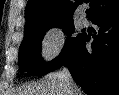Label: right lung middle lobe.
Segmentation results:
<instances>
[{"label":"right lung middle lobe","mask_w":119,"mask_h":95,"mask_svg":"<svg viewBox=\"0 0 119 95\" xmlns=\"http://www.w3.org/2000/svg\"><path fill=\"white\" fill-rule=\"evenodd\" d=\"M53 27L62 28L67 35L74 32L73 21L48 23L25 32L24 39L19 47L18 62L21 71L29 72L35 76H43L51 72L72 44L81 36V34H79L76 37H68L59 56L48 63H44L41 58V41L45 33Z\"/></svg>","instance_id":"1"}]
</instances>
